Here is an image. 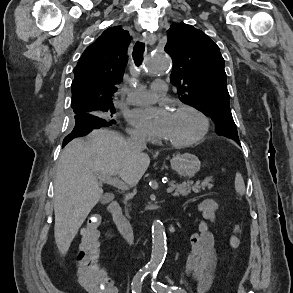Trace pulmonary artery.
Segmentation results:
<instances>
[{"instance_id":"e3ab8cb5","label":"pulmonary artery","mask_w":293,"mask_h":293,"mask_svg":"<svg viewBox=\"0 0 293 293\" xmlns=\"http://www.w3.org/2000/svg\"><path fill=\"white\" fill-rule=\"evenodd\" d=\"M151 88V90L141 88L132 90L127 101L132 104H150L166 94L167 84L165 81H155L152 83Z\"/></svg>"}]
</instances>
